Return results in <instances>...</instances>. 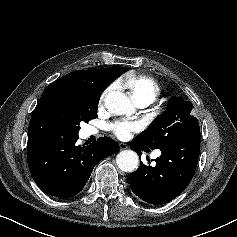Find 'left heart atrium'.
<instances>
[{
	"instance_id": "39dd6f15",
	"label": "left heart atrium",
	"mask_w": 237,
	"mask_h": 237,
	"mask_svg": "<svg viewBox=\"0 0 237 237\" xmlns=\"http://www.w3.org/2000/svg\"><path fill=\"white\" fill-rule=\"evenodd\" d=\"M139 130L140 124L138 122L117 121L112 124L113 133L122 140L128 139L132 132H137Z\"/></svg>"
}]
</instances>
